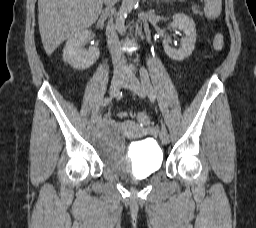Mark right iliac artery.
Wrapping results in <instances>:
<instances>
[{
  "instance_id": "82829eb1",
  "label": "right iliac artery",
  "mask_w": 256,
  "mask_h": 228,
  "mask_svg": "<svg viewBox=\"0 0 256 228\" xmlns=\"http://www.w3.org/2000/svg\"><path fill=\"white\" fill-rule=\"evenodd\" d=\"M111 101H112V98H111V97L105 98V99L102 101V106H103V107L108 106V105L111 103ZM95 121H96L97 123L100 122V121H102V114H99V115L96 117Z\"/></svg>"
}]
</instances>
